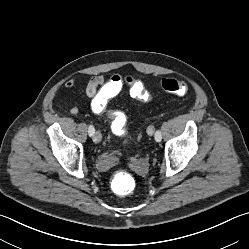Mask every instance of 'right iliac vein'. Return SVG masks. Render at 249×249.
Returning a JSON list of instances; mask_svg holds the SVG:
<instances>
[{"label":"right iliac vein","instance_id":"1","mask_svg":"<svg viewBox=\"0 0 249 249\" xmlns=\"http://www.w3.org/2000/svg\"><path fill=\"white\" fill-rule=\"evenodd\" d=\"M102 140V135L99 131H96L93 135V141L99 143Z\"/></svg>","mask_w":249,"mask_h":249}]
</instances>
